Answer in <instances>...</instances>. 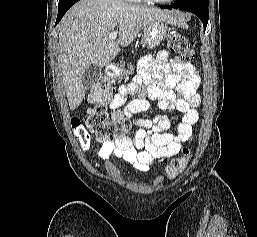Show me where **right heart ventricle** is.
<instances>
[{
    "mask_svg": "<svg viewBox=\"0 0 257 237\" xmlns=\"http://www.w3.org/2000/svg\"><path fill=\"white\" fill-rule=\"evenodd\" d=\"M124 1L138 2V1H141V0H124Z\"/></svg>",
    "mask_w": 257,
    "mask_h": 237,
    "instance_id": "right-heart-ventricle-1",
    "label": "right heart ventricle"
}]
</instances>
